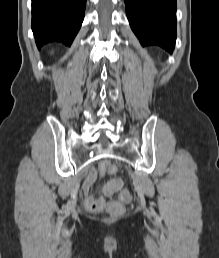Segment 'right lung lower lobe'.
<instances>
[{
	"mask_svg": "<svg viewBox=\"0 0 219 258\" xmlns=\"http://www.w3.org/2000/svg\"><path fill=\"white\" fill-rule=\"evenodd\" d=\"M86 0H32V30L37 47L50 42L70 46L84 19Z\"/></svg>",
	"mask_w": 219,
	"mask_h": 258,
	"instance_id": "98d812e1",
	"label": "right lung lower lobe"
}]
</instances>
